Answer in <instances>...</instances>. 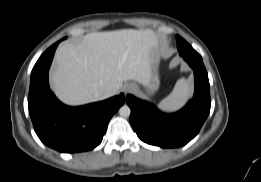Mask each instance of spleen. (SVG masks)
I'll use <instances>...</instances> for the list:
<instances>
[{"label":"spleen","instance_id":"1","mask_svg":"<svg viewBox=\"0 0 261 182\" xmlns=\"http://www.w3.org/2000/svg\"><path fill=\"white\" fill-rule=\"evenodd\" d=\"M192 87L190 82L184 78L179 79L172 92L159 103V108L164 111L179 109L191 96Z\"/></svg>","mask_w":261,"mask_h":182}]
</instances>
